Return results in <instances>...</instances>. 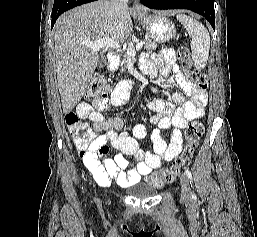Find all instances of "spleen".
<instances>
[{"mask_svg":"<svg viewBox=\"0 0 257 237\" xmlns=\"http://www.w3.org/2000/svg\"><path fill=\"white\" fill-rule=\"evenodd\" d=\"M177 19L190 35L192 59L197 69L205 68L209 56L210 36L207 29L197 20L184 15H177Z\"/></svg>","mask_w":257,"mask_h":237,"instance_id":"1","label":"spleen"}]
</instances>
